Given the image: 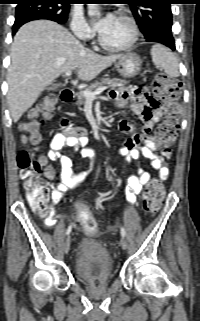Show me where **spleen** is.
I'll use <instances>...</instances> for the list:
<instances>
[{"label":"spleen","instance_id":"obj_1","mask_svg":"<svg viewBox=\"0 0 200 321\" xmlns=\"http://www.w3.org/2000/svg\"><path fill=\"white\" fill-rule=\"evenodd\" d=\"M152 62L158 68L164 70L167 76L176 78L179 76V65L176 56L169 48L155 44L151 48Z\"/></svg>","mask_w":200,"mask_h":321}]
</instances>
